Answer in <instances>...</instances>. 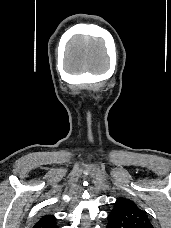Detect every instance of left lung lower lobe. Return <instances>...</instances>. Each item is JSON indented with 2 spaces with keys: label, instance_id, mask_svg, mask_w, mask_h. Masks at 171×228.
Wrapping results in <instances>:
<instances>
[{
  "label": "left lung lower lobe",
  "instance_id": "obj_1",
  "mask_svg": "<svg viewBox=\"0 0 171 228\" xmlns=\"http://www.w3.org/2000/svg\"><path fill=\"white\" fill-rule=\"evenodd\" d=\"M107 228H113L112 225L109 223V221H108ZM128 228H147V227H143V226H133V227H128Z\"/></svg>",
  "mask_w": 171,
  "mask_h": 228
}]
</instances>
